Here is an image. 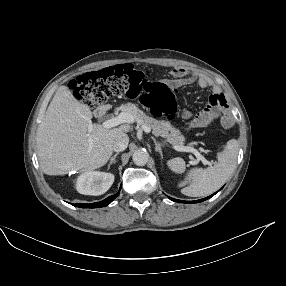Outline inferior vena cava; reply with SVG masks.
Segmentation results:
<instances>
[{
	"mask_svg": "<svg viewBox=\"0 0 286 286\" xmlns=\"http://www.w3.org/2000/svg\"><path fill=\"white\" fill-rule=\"evenodd\" d=\"M129 143V137L127 134H120L116 137L114 143H113V150L116 152L124 151Z\"/></svg>",
	"mask_w": 286,
	"mask_h": 286,
	"instance_id": "602c4592",
	"label": "inferior vena cava"
}]
</instances>
